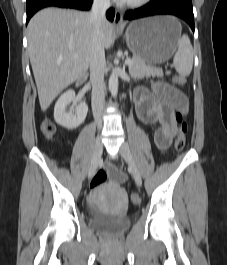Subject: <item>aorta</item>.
I'll list each match as a JSON object with an SVG mask.
<instances>
[{"label": "aorta", "mask_w": 227, "mask_h": 265, "mask_svg": "<svg viewBox=\"0 0 227 265\" xmlns=\"http://www.w3.org/2000/svg\"><path fill=\"white\" fill-rule=\"evenodd\" d=\"M109 90L113 97L117 96L118 93V75L113 71L109 78Z\"/></svg>", "instance_id": "1"}]
</instances>
